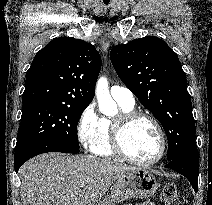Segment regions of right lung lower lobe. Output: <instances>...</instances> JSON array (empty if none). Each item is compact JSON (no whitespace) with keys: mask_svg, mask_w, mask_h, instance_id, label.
Wrapping results in <instances>:
<instances>
[{"mask_svg":"<svg viewBox=\"0 0 212 205\" xmlns=\"http://www.w3.org/2000/svg\"><path fill=\"white\" fill-rule=\"evenodd\" d=\"M46 152L79 153V147L60 141L41 140L31 142L15 150V171L18 172L21 165L28 159Z\"/></svg>","mask_w":212,"mask_h":205,"instance_id":"1","label":"right lung lower lobe"}]
</instances>
